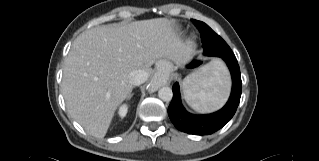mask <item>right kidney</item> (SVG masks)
Returning a JSON list of instances; mask_svg holds the SVG:
<instances>
[{"mask_svg":"<svg viewBox=\"0 0 319 161\" xmlns=\"http://www.w3.org/2000/svg\"><path fill=\"white\" fill-rule=\"evenodd\" d=\"M128 111V106L126 104H123L118 111V114L121 118L125 117Z\"/></svg>","mask_w":319,"mask_h":161,"instance_id":"1","label":"right kidney"}]
</instances>
